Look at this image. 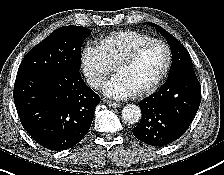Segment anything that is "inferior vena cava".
Segmentation results:
<instances>
[{"label":"inferior vena cava","mask_w":224,"mask_h":175,"mask_svg":"<svg viewBox=\"0 0 224 175\" xmlns=\"http://www.w3.org/2000/svg\"><path fill=\"white\" fill-rule=\"evenodd\" d=\"M87 82L91 87H94V88H98L102 83L101 79L96 76H89L87 78Z\"/></svg>","instance_id":"obj_1"}]
</instances>
